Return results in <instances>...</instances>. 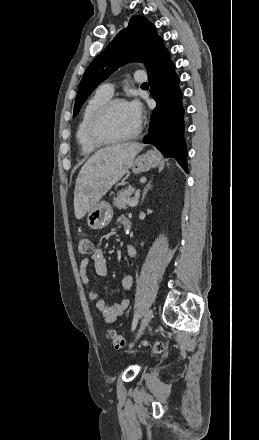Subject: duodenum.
Masks as SVG:
<instances>
[{
  "instance_id": "1",
  "label": "duodenum",
  "mask_w": 259,
  "mask_h": 440,
  "mask_svg": "<svg viewBox=\"0 0 259 440\" xmlns=\"http://www.w3.org/2000/svg\"><path fill=\"white\" fill-rule=\"evenodd\" d=\"M131 228V223L128 221L125 225V229L129 230Z\"/></svg>"
}]
</instances>
